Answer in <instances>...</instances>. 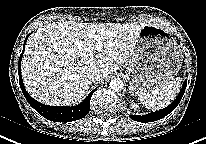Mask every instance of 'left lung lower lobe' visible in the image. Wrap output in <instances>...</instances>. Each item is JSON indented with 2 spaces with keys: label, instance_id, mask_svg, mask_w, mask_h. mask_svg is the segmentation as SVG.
<instances>
[{
  "label": "left lung lower lobe",
  "instance_id": "1",
  "mask_svg": "<svg viewBox=\"0 0 206 144\" xmlns=\"http://www.w3.org/2000/svg\"><path fill=\"white\" fill-rule=\"evenodd\" d=\"M186 84H187V80H185L179 95L166 108L159 110V111H156V112L149 113L147 115H143V116L131 115L130 118L135 120V121H139V122H153V121H157L159 119L164 118L166 115L171 113L179 104L180 100L182 99V97L184 95Z\"/></svg>",
  "mask_w": 206,
  "mask_h": 144
}]
</instances>
